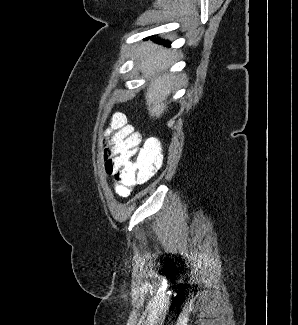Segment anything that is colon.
Segmentation results:
<instances>
[{
    "label": "colon",
    "instance_id": "5ec220e1",
    "mask_svg": "<svg viewBox=\"0 0 298 325\" xmlns=\"http://www.w3.org/2000/svg\"><path fill=\"white\" fill-rule=\"evenodd\" d=\"M104 166L124 186L142 184L161 167L162 158L152 146L140 147L141 136L122 114H113L105 130Z\"/></svg>",
    "mask_w": 298,
    "mask_h": 325
}]
</instances>
